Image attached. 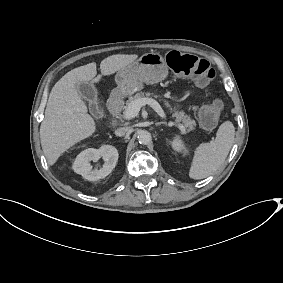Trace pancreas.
Segmentation results:
<instances>
[{
    "label": "pancreas",
    "instance_id": "pancreas-1",
    "mask_svg": "<svg viewBox=\"0 0 283 283\" xmlns=\"http://www.w3.org/2000/svg\"><path fill=\"white\" fill-rule=\"evenodd\" d=\"M147 97H153V98H159V102H165L164 107L167 109V111L172 114V117L175 119L176 122H182L184 127L187 129V131H193L195 132V126L196 123L193 119L190 118V116L186 115L185 112L179 111L174 105L164 100V97L162 95H156L152 91H140L139 93L135 94L133 97H130L126 104L129 105L132 102H136L139 100H142ZM124 106V101L120 99V103L117 107H111L109 106V111L113 116L119 115L121 109Z\"/></svg>",
    "mask_w": 283,
    "mask_h": 283
}]
</instances>
